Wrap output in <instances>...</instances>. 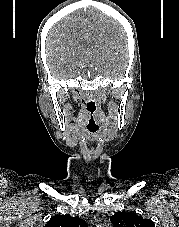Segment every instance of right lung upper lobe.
I'll return each mask as SVG.
<instances>
[{"instance_id":"right-lung-upper-lobe-1","label":"right lung upper lobe","mask_w":179,"mask_h":227,"mask_svg":"<svg viewBox=\"0 0 179 227\" xmlns=\"http://www.w3.org/2000/svg\"><path fill=\"white\" fill-rule=\"evenodd\" d=\"M44 227H87V223L77 216L56 215Z\"/></svg>"}]
</instances>
